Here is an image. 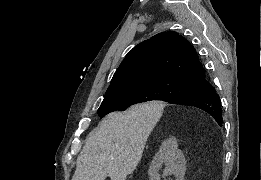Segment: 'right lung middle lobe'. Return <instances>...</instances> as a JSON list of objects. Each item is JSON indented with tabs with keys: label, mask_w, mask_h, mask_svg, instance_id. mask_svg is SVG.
Here are the masks:
<instances>
[{
	"label": "right lung middle lobe",
	"mask_w": 261,
	"mask_h": 180,
	"mask_svg": "<svg viewBox=\"0 0 261 180\" xmlns=\"http://www.w3.org/2000/svg\"><path fill=\"white\" fill-rule=\"evenodd\" d=\"M201 83L184 80H159L131 85L106 93L98 109V115L126 110L129 106L152 100L170 101L175 97L198 91Z\"/></svg>",
	"instance_id": "obj_1"
}]
</instances>
